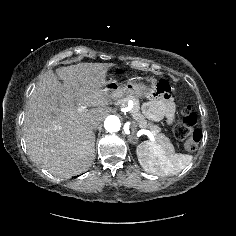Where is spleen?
Wrapping results in <instances>:
<instances>
[{
	"instance_id": "3e777b00",
	"label": "spleen",
	"mask_w": 236,
	"mask_h": 236,
	"mask_svg": "<svg viewBox=\"0 0 236 236\" xmlns=\"http://www.w3.org/2000/svg\"><path fill=\"white\" fill-rule=\"evenodd\" d=\"M136 154L145 171L159 176H172L181 172L193 159L192 155L173 154L150 141L137 146Z\"/></svg>"
}]
</instances>
